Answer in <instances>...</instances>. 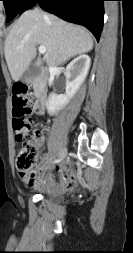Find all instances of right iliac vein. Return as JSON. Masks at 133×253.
Listing matches in <instances>:
<instances>
[{
  "label": "right iliac vein",
  "instance_id": "63e3f726",
  "mask_svg": "<svg viewBox=\"0 0 133 253\" xmlns=\"http://www.w3.org/2000/svg\"><path fill=\"white\" fill-rule=\"evenodd\" d=\"M67 156V148L63 147L60 151V160H64Z\"/></svg>",
  "mask_w": 133,
  "mask_h": 253
}]
</instances>
